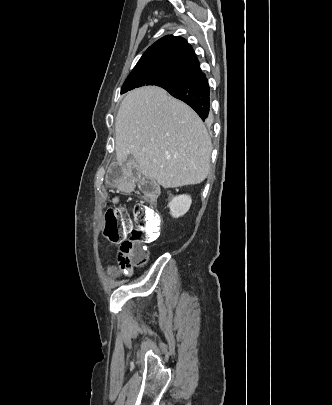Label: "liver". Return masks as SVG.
<instances>
[{
	"label": "liver",
	"mask_w": 332,
	"mask_h": 405,
	"mask_svg": "<svg viewBox=\"0 0 332 405\" xmlns=\"http://www.w3.org/2000/svg\"><path fill=\"white\" fill-rule=\"evenodd\" d=\"M115 129L118 163L132 155L140 173L164 188L199 184L209 173L212 143L203 121L163 88L129 91Z\"/></svg>",
	"instance_id": "obj_1"
}]
</instances>
